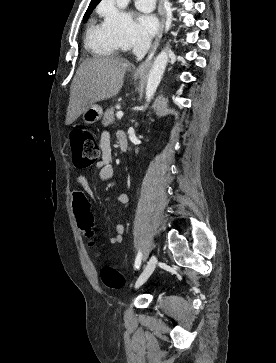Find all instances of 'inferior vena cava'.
<instances>
[{
	"mask_svg": "<svg viewBox=\"0 0 276 363\" xmlns=\"http://www.w3.org/2000/svg\"><path fill=\"white\" fill-rule=\"evenodd\" d=\"M151 46V37L149 35L138 36L134 42L133 53L140 61L147 54Z\"/></svg>",
	"mask_w": 276,
	"mask_h": 363,
	"instance_id": "inferior-vena-cava-1",
	"label": "inferior vena cava"
}]
</instances>
